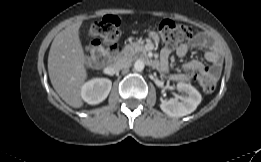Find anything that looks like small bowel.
<instances>
[{"label": "small bowel", "instance_id": "c3829d8e", "mask_svg": "<svg viewBox=\"0 0 261 162\" xmlns=\"http://www.w3.org/2000/svg\"><path fill=\"white\" fill-rule=\"evenodd\" d=\"M152 38L154 40H157L158 39L157 34L153 33ZM207 41H208V36L205 33L200 32L194 36L192 40V44L195 46H204L207 43ZM187 52H188V44H181L176 49V54L179 57L185 56ZM169 54H170L169 49H163L161 53L162 59H166L169 56ZM205 59L211 63L210 69H207L204 66V64L198 60H191L185 63L184 69L190 72H208L213 76H218L221 71V56L218 49L212 48L210 50H207L205 52ZM172 78L178 81V80H182L183 76L180 74H174Z\"/></svg>", "mask_w": 261, "mask_h": 162}]
</instances>
